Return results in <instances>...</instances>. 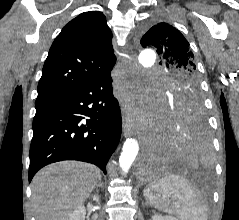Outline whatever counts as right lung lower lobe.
<instances>
[{
    "label": "right lung lower lobe",
    "instance_id": "right-lung-lower-lobe-1",
    "mask_svg": "<svg viewBox=\"0 0 239 220\" xmlns=\"http://www.w3.org/2000/svg\"><path fill=\"white\" fill-rule=\"evenodd\" d=\"M111 70L81 87L36 99L29 182L39 169L62 160L92 163L106 174L121 135Z\"/></svg>",
    "mask_w": 239,
    "mask_h": 220
}]
</instances>
